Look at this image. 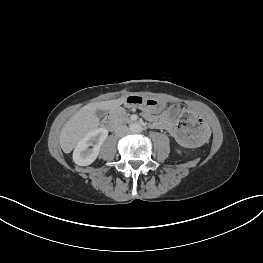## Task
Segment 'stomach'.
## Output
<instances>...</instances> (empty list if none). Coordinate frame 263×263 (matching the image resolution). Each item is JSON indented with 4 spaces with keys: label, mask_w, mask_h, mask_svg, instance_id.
Wrapping results in <instances>:
<instances>
[{
    "label": "stomach",
    "mask_w": 263,
    "mask_h": 263,
    "mask_svg": "<svg viewBox=\"0 0 263 263\" xmlns=\"http://www.w3.org/2000/svg\"><path fill=\"white\" fill-rule=\"evenodd\" d=\"M126 107H135L151 112L163 108V104L156 99L138 95H129L125 100ZM160 122L177 134V140L186 148H193L203 144L207 138V131L201 116L183 104L163 108Z\"/></svg>",
    "instance_id": "1"
}]
</instances>
